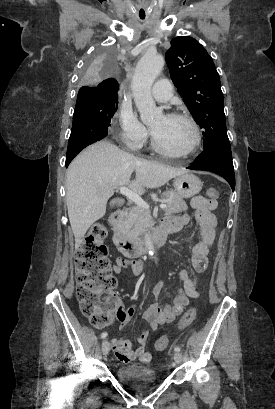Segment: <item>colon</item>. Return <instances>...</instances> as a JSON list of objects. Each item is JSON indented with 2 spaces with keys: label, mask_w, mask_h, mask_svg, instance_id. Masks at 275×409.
<instances>
[{
  "label": "colon",
  "mask_w": 275,
  "mask_h": 409,
  "mask_svg": "<svg viewBox=\"0 0 275 409\" xmlns=\"http://www.w3.org/2000/svg\"><path fill=\"white\" fill-rule=\"evenodd\" d=\"M216 189H209L207 197L211 201L218 198ZM107 237L106 226L102 221L92 225L76 251V296L82 314L90 323L101 330L108 325L113 312L120 306L121 299L113 292L117 280L111 275V261L108 258V247L104 243ZM196 309L191 307L186 310L180 319L177 329L188 327L196 318ZM169 339L163 337L155 342V350H166Z\"/></svg>",
  "instance_id": "1"
}]
</instances>
